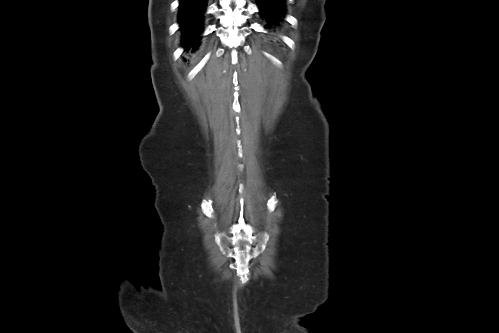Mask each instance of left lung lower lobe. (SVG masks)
<instances>
[{"label": "left lung lower lobe", "mask_w": 499, "mask_h": 333, "mask_svg": "<svg viewBox=\"0 0 499 333\" xmlns=\"http://www.w3.org/2000/svg\"><path fill=\"white\" fill-rule=\"evenodd\" d=\"M261 13L273 23L279 22L283 10V0H258Z\"/></svg>", "instance_id": "1"}]
</instances>
